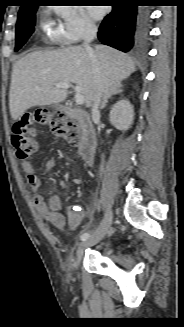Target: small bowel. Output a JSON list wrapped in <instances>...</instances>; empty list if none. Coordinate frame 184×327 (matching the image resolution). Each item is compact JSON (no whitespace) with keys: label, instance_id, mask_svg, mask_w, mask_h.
Instances as JSON below:
<instances>
[{"label":"small bowel","instance_id":"small-bowel-1","mask_svg":"<svg viewBox=\"0 0 184 327\" xmlns=\"http://www.w3.org/2000/svg\"><path fill=\"white\" fill-rule=\"evenodd\" d=\"M42 147L38 146L36 153H40ZM54 160H49L46 168L51 170L55 167ZM23 169L27 176V181L31 189L36 193L34 204L40 214L55 228L63 229L67 224L71 230H75L83 221L84 210L79 205H71L67 208V213L64 215L60 211L61 203L57 196L51 197L48 201L38 192L42 188V183L36 175V168L32 160H27L23 163Z\"/></svg>","mask_w":184,"mask_h":327}]
</instances>
